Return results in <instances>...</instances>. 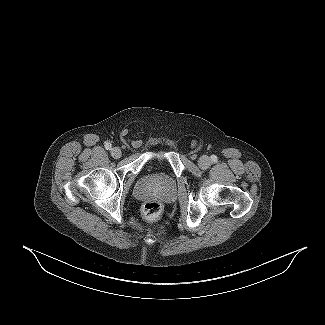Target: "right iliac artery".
Masks as SVG:
<instances>
[{
	"instance_id": "82829eb1",
	"label": "right iliac artery",
	"mask_w": 325,
	"mask_h": 325,
	"mask_svg": "<svg viewBox=\"0 0 325 325\" xmlns=\"http://www.w3.org/2000/svg\"><path fill=\"white\" fill-rule=\"evenodd\" d=\"M111 147H112V145H111L110 143H106V144H105V148H106L107 150H110Z\"/></svg>"
}]
</instances>
